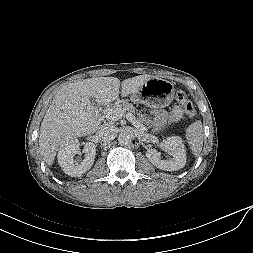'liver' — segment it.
<instances>
[{
  "label": "liver",
  "mask_w": 253,
  "mask_h": 253,
  "mask_svg": "<svg viewBox=\"0 0 253 253\" xmlns=\"http://www.w3.org/2000/svg\"><path fill=\"white\" fill-rule=\"evenodd\" d=\"M152 75H139L120 83L115 77H94L63 86L54 96L41 123L39 150L47 165L54 162L58 149L68 140L95 133L101 125L98 109L90 102L107 105L121 96L137 92Z\"/></svg>",
  "instance_id": "1"
}]
</instances>
